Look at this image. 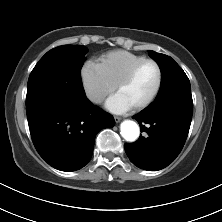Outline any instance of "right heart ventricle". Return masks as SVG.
Masks as SVG:
<instances>
[{"mask_svg": "<svg viewBox=\"0 0 222 222\" xmlns=\"http://www.w3.org/2000/svg\"><path fill=\"white\" fill-rule=\"evenodd\" d=\"M146 59L125 50H115L103 55L99 59L101 67L107 78L115 85L136 63Z\"/></svg>", "mask_w": 222, "mask_h": 222, "instance_id": "1", "label": "right heart ventricle"}]
</instances>
